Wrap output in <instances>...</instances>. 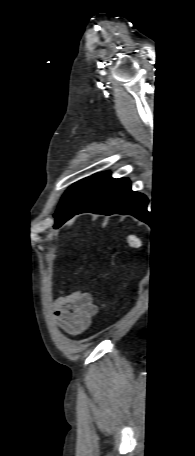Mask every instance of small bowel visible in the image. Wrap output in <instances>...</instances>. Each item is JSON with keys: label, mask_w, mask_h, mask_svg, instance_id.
Listing matches in <instances>:
<instances>
[{"label": "small bowel", "mask_w": 195, "mask_h": 456, "mask_svg": "<svg viewBox=\"0 0 195 456\" xmlns=\"http://www.w3.org/2000/svg\"><path fill=\"white\" fill-rule=\"evenodd\" d=\"M96 312L91 294L83 291L59 297L52 308L58 326L69 335H78L85 331Z\"/></svg>", "instance_id": "small-bowel-1"}]
</instances>
